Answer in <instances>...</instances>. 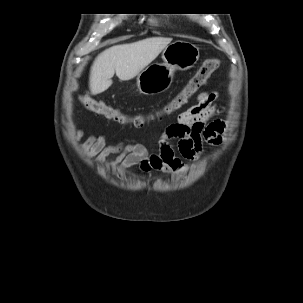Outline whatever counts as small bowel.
I'll list each match as a JSON object with an SVG mask.
<instances>
[{
  "label": "small bowel",
  "mask_w": 303,
  "mask_h": 303,
  "mask_svg": "<svg viewBox=\"0 0 303 303\" xmlns=\"http://www.w3.org/2000/svg\"><path fill=\"white\" fill-rule=\"evenodd\" d=\"M216 99L214 92L205 91L198 94L196 104L179 113L176 122L166 128L158 143V153H149L146 147L139 143L118 142L106 145L102 135L88 137L82 145V152L97 164H103L109 157L115 156L107 163L108 170L117 169L124 173L129 168L138 166L142 173L156 170L166 175H174L183 170L184 163L176 156L170 144L171 140H176L179 154L188 159H196L207 146L220 143V127L208 123L216 112ZM82 136L83 131L78 130L76 137Z\"/></svg>",
  "instance_id": "1"
}]
</instances>
